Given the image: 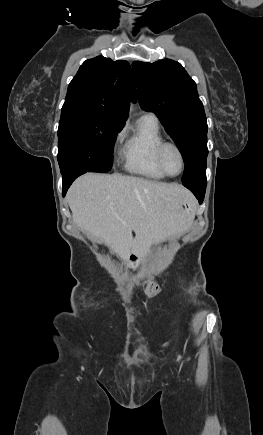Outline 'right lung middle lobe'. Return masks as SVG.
<instances>
[{
	"instance_id": "1",
	"label": "right lung middle lobe",
	"mask_w": 263,
	"mask_h": 435,
	"mask_svg": "<svg viewBox=\"0 0 263 435\" xmlns=\"http://www.w3.org/2000/svg\"><path fill=\"white\" fill-rule=\"evenodd\" d=\"M122 127L91 110L62 109L57 155L62 176L72 171L108 172Z\"/></svg>"
}]
</instances>
